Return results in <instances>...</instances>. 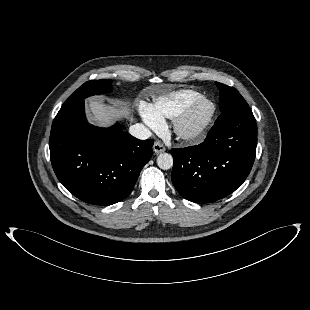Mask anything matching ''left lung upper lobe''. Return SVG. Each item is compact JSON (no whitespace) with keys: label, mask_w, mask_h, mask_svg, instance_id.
Instances as JSON below:
<instances>
[{"label":"left lung upper lobe","mask_w":310,"mask_h":310,"mask_svg":"<svg viewBox=\"0 0 310 310\" xmlns=\"http://www.w3.org/2000/svg\"><path fill=\"white\" fill-rule=\"evenodd\" d=\"M219 89V107L221 115L218 119L230 116L248 109V104L241 94L233 87H229L222 83L216 82Z\"/></svg>","instance_id":"5c2ea615"}]
</instances>
